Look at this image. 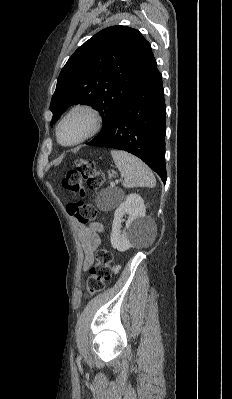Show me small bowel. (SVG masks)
Wrapping results in <instances>:
<instances>
[{"label": "small bowel", "mask_w": 232, "mask_h": 399, "mask_svg": "<svg viewBox=\"0 0 232 399\" xmlns=\"http://www.w3.org/2000/svg\"><path fill=\"white\" fill-rule=\"evenodd\" d=\"M78 239L83 251V266L88 268L94 260L95 246L101 239V228L98 226H79Z\"/></svg>", "instance_id": "1"}]
</instances>
